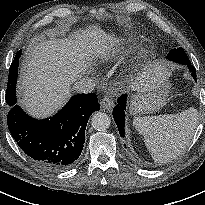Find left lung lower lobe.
I'll use <instances>...</instances> for the list:
<instances>
[{
    "label": "left lung lower lobe",
    "instance_id": "0a47b994",
    "mask_svg": "<svg viewBox=\"0 0 205 205\" xmlns=\"http://www.w3.org/2000/svg\"><path fill=\"white\" fill-rule=\"evenodd\" d=\"M185 65L189 68L193 79L195 81H197L195 67L193 65H191V63L185 64ZM126 98H127L126 95H122L117 100L118 106H116L113 110L114 120L118 126V130H119L120 135L123 137H124V132H125L124 131V124H125V112H124V110L126 109Z\"/></svg>",
    "mask_w": 205,
    "mask_h": 205
}]
</instances>
